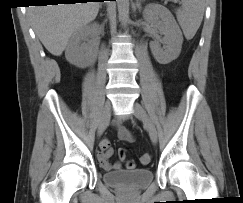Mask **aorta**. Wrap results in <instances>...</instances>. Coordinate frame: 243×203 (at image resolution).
<instances>
[{
    "label": "aorta",
    "mask_w": 243,
    "mask_h": 203,
    "mask_svg": "<svg viewBox=\"0 0 243 203\" xmlns=\"http://www.w3.org/2000/svg\"><path fill=\"white\" fill-rule=\"evenodd\" d=\"M119 20L123 25L129 21V0H117Z\"/></svg>",
    "instance_id": "762f6f07"
}]
</instances>
